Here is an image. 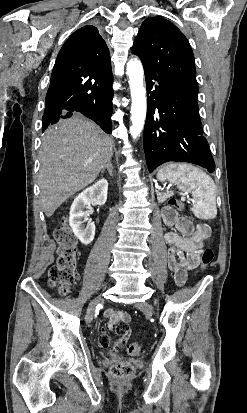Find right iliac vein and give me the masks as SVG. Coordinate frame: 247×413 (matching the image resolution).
Wrapping results in <instances>:
<instances>
[{
    "mask_svg": "<svg viewBox=\"0 0 247 413\" xmlns=\"http://www.w3.org/2000/svg\"><path fill=\"white\" fill-rule=\"evenodd\" d=\"M102 302H104L103 296H98L90 303L85 318L87 324L91 322L97 305L101 304Z\"/></svg>",
    "mask_w": 247,
    "mask_h": 413,
    "instance_id": "obj_1",
    "label": "right iliac vein"
}]
</instances>
